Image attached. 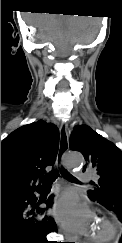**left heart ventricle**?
Masks as SVG:
<instances>
[{
    "label": "left heart ventricle",
    "instance_id": "b2bd125f",
    "mask_svg": "<svg viewBox=\"0 0 122 243\" xmlns=\"http://www.w3.org/2000/svg\"><path fill=\"white\" fill-rule=\"evenodd\" d=\"M99 228H100V225L96 222V223L93 225V227H92V229H91V232H92V233L97 232V231L99 230Z\"/></svg>",
    "mask_w": 122,
    "mask_h": 243
}]
</instances>
